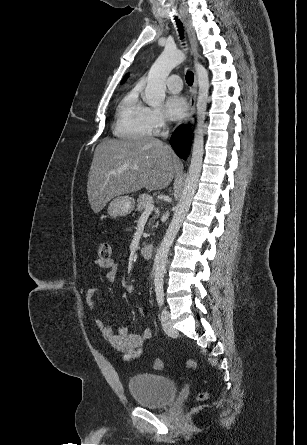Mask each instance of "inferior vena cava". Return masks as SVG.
I'll use <instances>...</instances> for the list:
<instances>
[{"mask_svg": "<svg viewBox=\"0 0 307 445\" xmlns=\"http://www.w3.org/2000/svg\"><path fill=\"white\" fill-rule=\"evenodd\" d=\"M163 136H168V130L166 132H162Z\"/></svg>", "mask_w": 307, "mask_h": 445, "instance_id": "1", "label": "inferior vena cava"}]
</instances>
